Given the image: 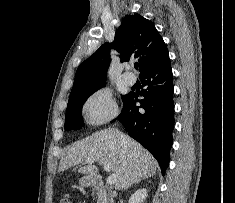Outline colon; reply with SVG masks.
Instances as JSON below:
<instances>
[{"mask_svg":"<svg viewBox=\"0 0 235 203\" xmlns=\"http://www.w3.org/2000/svg\"><path fill=\"white\" fill-rule=\"evenodd\" d=\"M60 203H71V201L68 197H64L60 200Z\"/></svg>","mask_w":235,"mask_h":203,"instance_id":"obj_1","label":"colon"}]
</instances>
